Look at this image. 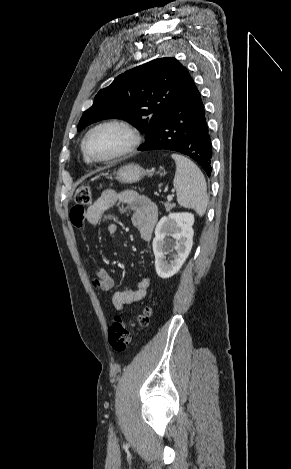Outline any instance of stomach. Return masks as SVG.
<instances>
[{
	"mask_svg": "<svg viewBox=\"0 0 291 469\" xmlns=\"http://www.w3.org/2000/svg\"><path fill=\"white\" fill-rule=\"evenodd\" d=\"M148 171L137 164H127L121 167L115 176V179L121 183L131 184L140 181Z\"/></svg>",
	"mask_w": 291,
	"mask_h": 469,
	"instance_id": "stomach-1",
	"label": "stomach"
}]
</instances>
